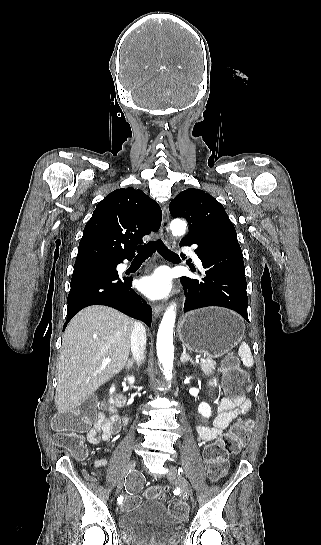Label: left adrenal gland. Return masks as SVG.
<instances>
[{
	"label": "left adrenal gland",
	"mask_w": 321,
	"mask_h": 545,
	"mask_svg": "<svg viewBox=\"0 0 321 545\" xmlns=\"http://www.w3.org/2000/svg\"><path fill=\"white\" fill-rule=\"evenodd\" d=\"M180 361H181V363H187V361H190V363H192V365H195V363H194V361H192L191 357H189V355H187L185 347H184L183 353H182V355L180 357Z\"/></svg>",
	"instance_id": "a2214340"
}]
</instances>
